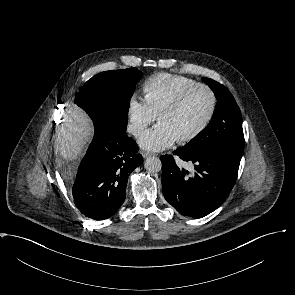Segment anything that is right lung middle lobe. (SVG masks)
I'll return each instance as SVG.
<instances>
[{
  "label": "right lung middle lobe",
  "instance_id": "right-lung-middle-lobe-1",
  "mask_svg": "<svg viewBox=\"0 0 295 295\" xmlns=\"http://www.w3.org/2000/svg\"><path fill=\"white\" fill-rule=\"evenodd\" d=\"M140 78L137 68L101 72L80 88L75 103L94 123L125 132L130 99Z\"/></svg>",
  "mask_w": 295,
  "mask_h": 295
}]
</instances>
